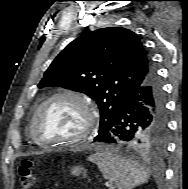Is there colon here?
<instances>
[{
    "label": "colon",
    "instance_id": "1",
    "mask_svg": "<svg viewBox=\"0 0 188 189\" xmlns=\"http://www.w3.org/2000/svg\"><path fill=\"white\" fill-rule=\"evenodd\" d=\"M18 175L21 189H32L34 185L32 161L23 160L18 167Z\"/></svg>",
    "mask_w": 188,
    "mask_h": 189
}]
</instances>
